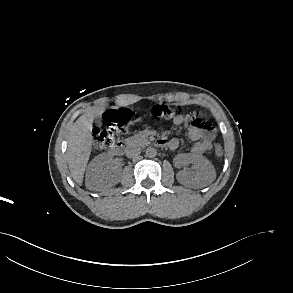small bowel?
<instances>
[{
	"instance_id": "small-bowel-1",
	"label": "small bowel",
	"mask_w": 293,
	"mask_h": 293,
	"mask_svg": "<svg viewBox=\"0 0 293 293\" xmlns=\"http://www.w3.org/2000/svg\"><path fill=\"white\" fill-rule=\"evenodd\" d=\"M198 112L180 114L174 118L175 125L183 123L188 125V136L192 141H195L190 148V153L192 154H202L209 151L215 138V131L208 125L206 119L196 115ZM160 142L171 150H176L179 147L177 139L167 140L162 137Z\"/></svg>"
}]
</instances>
